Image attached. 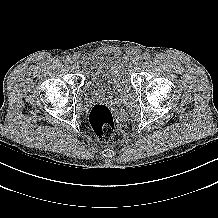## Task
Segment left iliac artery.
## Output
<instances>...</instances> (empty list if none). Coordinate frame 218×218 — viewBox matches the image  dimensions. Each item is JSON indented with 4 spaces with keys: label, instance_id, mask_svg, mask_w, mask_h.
<instances>
[{
    "label": "left iliac artery",
    "instance_id": "1",
    "mask_svg": "<svg viewBox=\"0 0 218 218\" xmlns=\"http://www.w3.org/2000/svg\"><path fill=\"white\" fill-rule=\"evenodd\" d=\"M150 57H151V55L149 53H147V52L143 54V59L144 60H149Z\"/></svg>",
    "mask_w": 218,
    "mask_h": 218
}]
</instances>
